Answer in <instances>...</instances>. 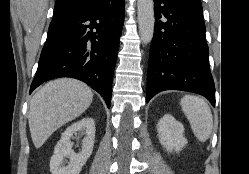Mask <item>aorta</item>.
Segmentation results:
<instances>
[{"instance_id":"obj_1","label":"aorta","mask_w":249,"mask_h":174,"mask_svg":"<svg viewBox=\"0 0 249 174\" xmlns=\"http://www.w3.org/2000/svg\"><path fill=\"white\" fill-rule=\"evenodd\" d=\"M139 35L143 44L151 42L154 34V2L153 0H137Z\"/></svg>"}]
</instances>
